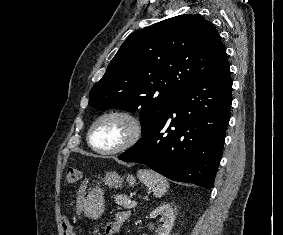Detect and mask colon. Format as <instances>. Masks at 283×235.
Segmentation results:
<instances>
[{
    "mask_svg": "<svg viewBox=\"0 0 283 235\" xmlns=\"http://www.w3.org/2000/svg\"><path fill=\"white\" fill-rule=\"evenodd\" d=\"M81 178V172L76 167H69L66 172V180L69 183H76ZM65 235H71L72 231L69 227L64 228Z\"/></svg>",
    "mask_w": 283,
    "mask_h": 235,
    "instance_id": "1",
    "label": "colon"
}]
</instances>
